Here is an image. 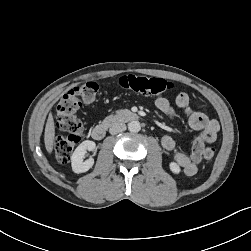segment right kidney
I'll return each instance as SVG.
<instances>
[{"instance_id": "right-kidney-1", "label": "right kidney", "mask_w": 251, "mask_h": 251, "mask_svg": "<svg viewBox=\"0 0 251 251\" xmlns=\"http://www.w3.org/2000/svg\"><path fill=\"white\" fill-rule=\"evenodd\" d=\"M96 144L94 141H83L73 152L71 156V166L74 173H84L94 165V159L84 160L87 151H94Z\"/></svg>"}]
</instances>
